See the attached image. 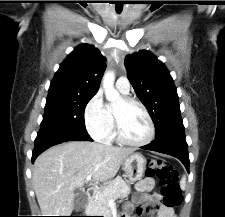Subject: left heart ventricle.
I'll return each instance as SVG.
<instances>
[{"instance_id":"obj_1","label":"left heart ventricle","mask_w":225,"mask_h":217,"mask_svg":"<svg viewBox=\"0 0 225 217\" xmlns=\"http://www.w3.org/2000/svg\"><path fill=\"white\" fill-rule=\"evenodd\" d=\"M114 110L116 111L124 136L133 142L146 139L149 133V125L143 111L136 105H128L121 99Z\"/></svg>"}]
</instances>
